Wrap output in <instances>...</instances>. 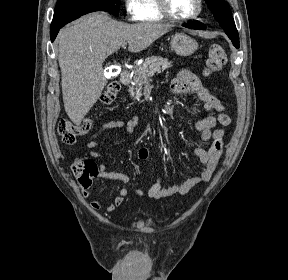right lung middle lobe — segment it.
I'll return each instance as SVG.
<instances>
[{"instance_id":"obj_1","label":"right lung middle lobe","mask_w":288,"mask_h":280,"mask_svg":"<svg viewBox=\"0 0 288 280\" xmlns=\"http://www.w3.org/2000/svg\"><path fill=\"white\" fill-rule=\"evenodd\" d=\"M83 5L101 6L106 11L118 16L120 0H58L54 10V16L70 8Z\"/></svg>"}]
</instances>
